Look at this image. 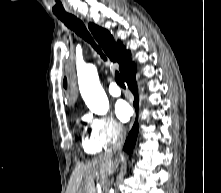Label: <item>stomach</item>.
I'll list each match as a JSON object with an SVG mask.
<instances>
[{
	"mask_svg": "<svg viewBox=\"0 0 221 193\" xmlns=\"http://www.w3.org/2000/svg\"><path fill=\"white\" fill-rule=\"evenodd\" d=\"M64 103H77V98H64Z\"/></svg>",
	"mask_w": 221,
	"mask_h": 193,
	"instance_id": "1",
	"label": "stomach"
}]
</instances>
